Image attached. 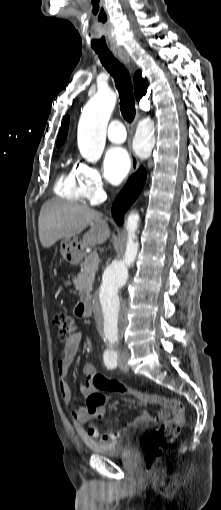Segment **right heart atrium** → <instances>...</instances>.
Returning a JSON list of instances; mask_svg holds the SVG:
<instances>
[{
  "instance_id": "d8ad5b80",
  "label": "right heart atrium",
  "mask_w": 221,
  "mask_h": 510,
  "mask_svg": "<svg viewBox=\"0 0 221 510\" xmlns=\"http://www.w3.org/2000/svg\"><path fill=\"white\" fill-rule=\"evenodd\" d=\"M77 177L82 197L91 204L99 202L105 193V179L95 166L81 163L77 167Z\"/></svg>"
}]
</instances>
